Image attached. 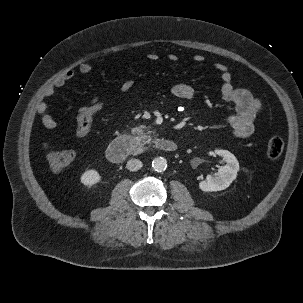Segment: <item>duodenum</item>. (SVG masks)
<instances>
[{
	"mask_svg": "<svg viewBox=\"0 0 303 303\" xmlns=\"http://www.w3.org/2000/svg\"><path fill=\"white\" fill-rule=\"evenodd\" d=\"M154 147L163 152H175L177 144L170 139L156 138ZM133 140L131 136L122 135L114 139L106 150L107 158L113 163L124 161L133 151Z\"/></svg>",
	"mask_w": 303,
	"mask_h": 303,
	"instance_id": "1",
	"label": "duodenum"
}]
</instances>
